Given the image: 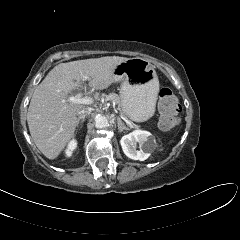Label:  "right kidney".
<instances>
[{
  "instance_id": "ca27d5eb",
  "label": "right kidney",
  "mask_w": 240,
  "mask_h": 240,
  "mask_svg": "<svg viewBox=\"0 0 240 240\" xmlns=\"http://www.w3.org/2000/svg\"><path fill=\"white\" fill-rule=\"evenodd\" d=\"M76 147H77V142L75 140L70 141L65 151L66 155L70 157L72 155L73 150H75Z\"/></svg>"
}]
</instances>
